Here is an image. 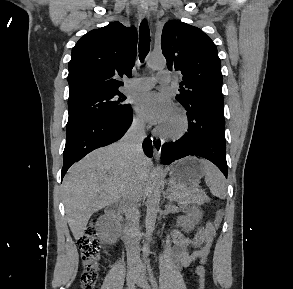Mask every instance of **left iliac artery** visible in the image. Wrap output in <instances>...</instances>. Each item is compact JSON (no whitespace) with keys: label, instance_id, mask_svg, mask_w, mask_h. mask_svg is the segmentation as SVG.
Masks as SVG:
<instances>
[{"label":"left iliac artery","instance_id":"left-iliac-artery-1","mask_svg":"<svg viewBox=\"0 0 293 289\" xmlns=\"http://www.w3.org/2000/svg\"><path fill=\"white\" fill-rule=\"evenodd\" d=\"M147 268H148V271H149V276H150V281H151V285L153 287V289H158V284H157V281L153 275V271L150 267V263L149 261H147Z\"/></svg>","mask_w":293,"mask_h":289}]
</instances>
